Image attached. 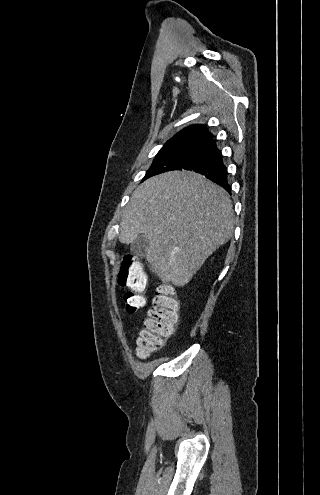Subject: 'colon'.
Returning <instances> with one entry per match:
<instances>
[{"instance_id": "1", "label": "colon", "mask_w": 320, "mask_h": 495, "mask_svg": "<svg viewBox=\"0 0 320 495\" xmlns=\"http://www.w3.org/2000/svg\"><path fill=\"white\" fill-rule=\"evenodd\" d=\"M119 285L127 288L123 301L127 312L133 313L143 308V292L148 286V275L141 263L131 255L123 257L118 273ZM179 303L174 288L161 283L155 293L152 307L148 310L144 328L137 340V355L145 358L160 348L165 338L173 334L178 322Z\"/></svg>"}]
</instances>
